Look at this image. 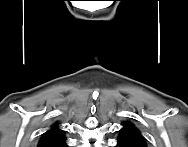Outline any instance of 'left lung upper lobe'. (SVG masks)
<instances>
[{"instance_id":"1","label":"left lung upper lobe","mask_w":188,"mask_h":147,"mask_svg":"<svg viewBox=\"0 0 188 147\" xmlns=\"http://www.w3.org/2000/svg\"><path fill=\"white\" fill-rule=\"evenodd\" d=\"M118 147H147L146 139L131 122H123L117 139Z\"/></svg>"}]
</instances>
